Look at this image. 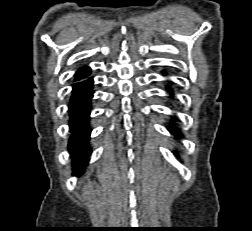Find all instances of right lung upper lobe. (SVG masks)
Returning <instances> with one entry per match:
<instances>
[{
  "instance_id": "right-lung-upper-lobe-1",
  "label": "right lung upper lobe",
  "mask_w": 252,
  "mask_h": 231,
  "mask_svg": "<svg viewBox=\"0 0 252 231\" xmlns=\"http://www.w3.org/2000/svg\"><path fill=\"white\" fill-rule=\"evenodd\" d=\"M89 74H90V68L87 66H84L83 68H80L76 72L74 81H78L80 79H83V78L87 77Z\"/></svg>"
}]
</instances>
